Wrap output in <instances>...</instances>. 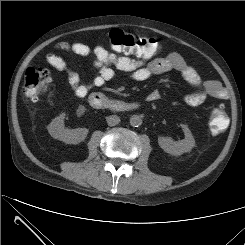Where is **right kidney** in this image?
<instances>
[{
	"label": "right kidney",
	"mask_w": 245,
	"mask_h": 245,
	"mask_svg": "<svg viewBox=\"0 0 245 245\" xmlns=\"http://www.w3.org/2000/svg\"><path fill=\"white\" fill-rule=\"evenodd\" d=\"M65 114H61L52 120L48 125L47 129L49 134L60 141L67 144H78L83 141L88 134V129L78 128V129H67L64 125Z\"/></svg>",
	"instance_id": "1"
}]
</instances>
